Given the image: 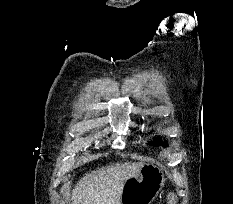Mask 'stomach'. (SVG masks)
<instances>
[{"mask_svg": "<svg viewBox=\"0 0 233 204\" xmlns=\"http://www.w3.org/2000/svg\"><path fill=\"white\" fill-rule=\"evenodd\" d=\"M164 171L152 163H144L139 173L126 180L120 204H151L164 186Z\"/></svg>", "mask_w": 233, "mask_h": 204, "instance_id": "1", "label": "stomach"}]
</instances>
